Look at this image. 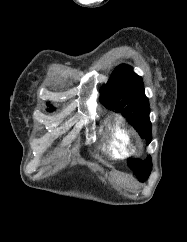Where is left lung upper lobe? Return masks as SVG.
I'll return each mask as SVG.
<instances>
[{
	"label": "left lung upper lobe",
	"instance_id": "left-lung-upper-lobe-1",
	"mask_svg": "<svg viewBox=\"0 0 187 242\" xmlns=\"http://www.w3.org/2000/svg\"><path fill=\"white\" fill-rule=\"evenodd\" d=\"M100 101L107 108L122 113L139 135L146 139L147 144L150 143L152 135L148 98L144 93L142 78L129 65L122 64L115 68L101 88ZM128 166L140 181H144L152 170L151 156L145 160L129 159Z\"/></svg>",
	"mask_w": 187,
	"mask_h": 242
}]
</instances>
